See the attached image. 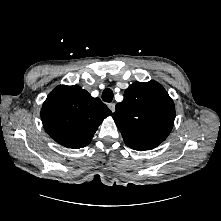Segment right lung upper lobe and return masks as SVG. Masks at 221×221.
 <instances>
[{"mask_svg": "<svg viewBox=\"0 0 221 221\" xmlns=\"http://www.w3.org/2000/svg\"><path fill=\"white\" fill-rule=\"evenodd\" d=\"M112 112L78 85H60L51 91L41 109L45 131L72 149L87 146L102 121Z\"/></svg>", "mask_w": 221, "mask_h": 221, "instance_id": "cb5924a9", "label": "right lung upper lobe"}]
</instances>
